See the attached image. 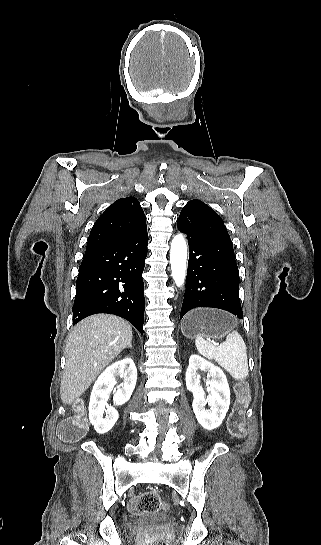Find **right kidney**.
<instances>
[{
  "label": "right kidney",
  "instance_id": "ca27d5eb",
  "mask_svg": "<svg viewBox=\"0 0 321 545\" xmlns=\"http://www.w3.org/2000/svg\"><path fill=\"white\" fill-rule=\"evenodd\" d=\"M116 377H124V385L117 387V391L113 397L114 405H124L129 401L137 381V369L129 357H125L122 361H116L110 367L103 371L98 377L90 397L89 403V419L94 425L96 433L104 435L114 427L119 415L114 407H108L106 399H108L111 391L116 385ZM107 415L103 419V413Z\"/></svg>",
  "mask_w": 321,
  "mask_h": 545
}]
</instances>
